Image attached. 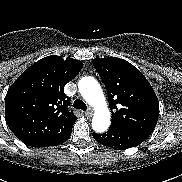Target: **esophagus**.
Returning a JSON list of instances; mask_svg holds the SVG:
<instances>
[{"mask_svg": "<svg viewBox=\"0 0 182 182\" xmlns=\"http://www.w3.org/2000/svg\"><path fill=\"white\" fill-rule=\"evenodd\" d=\"M85 115L87 117H91L93 115V111L91 109H89L88 111L85 112Z\"/></svg>", "mask_w": 182, "mask_h": 182, "instance_id": "1", "label": "esophagus"}]
</instances>
